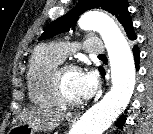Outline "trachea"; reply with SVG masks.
<instances>
[{"label":"trachea","mask_w":153,"mask_h":134,"mask_svg":"<svg viewBox=\"0 0 153 134\" xmlns=\"http://www.w3.org/2000/svg\"><path fill=\"white\" fill-rule=\"evenodd\" d=\"M103 56H105V55H104V54H100V55H99V57H103Z\"/></svg>","instance_id":"obj_1"}]
</instances>
